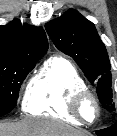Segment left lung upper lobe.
<instances>
[{
    "instance_id": "obj_1",
    "label": "left lung upper lobe",
    "mask_w": 117,
    "mask_h": 136,
    "mask_svg": "<svg viewBox=\"0 0 117 136\" xmlns=\"http://www.w3.org/2000/svg\"><path fill=\"white\" fill-rule=\"evenodd\" d=\"M55 46L71 56L91 83L97 85L102 105L113 111L110 62L93 23L70 9L45 25Z\"/></svg>"
}]
</instances>
